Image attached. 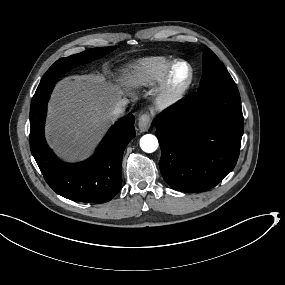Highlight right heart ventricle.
<instances>
[{"mask_svg": "<svg viewBox=\"0 0 285 285\" xmlns=\"http://www.w3.org/2000/svg\"><path fill=\"white\" fill-rule=\"evenodd\" d=\"M170 69L171 64L164 57L143 58L137 62L134 86L136 88L153 87L162 81Z\"/></svg>", "mask_w": 285, "mask_h": 285, "instance_id": "1", "label": "right heart ventricle"}]
</instances>
